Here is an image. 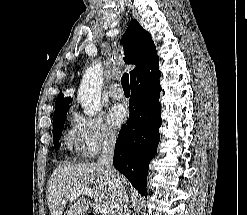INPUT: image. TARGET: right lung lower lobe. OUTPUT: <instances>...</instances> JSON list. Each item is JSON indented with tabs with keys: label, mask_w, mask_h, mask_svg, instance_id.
I'll use <instances>...</instances> for the list:
<instances>
[{
	"label": "right lung lower lobe",
	"mask_w": 247,
	"mask_h": 215,
	"mask_svg": "<svg viewBox=\"0 0 247 215\" xmlns=\"http://www.w3.org/2000/svg\"><path fill=\"white\" fill-rule=\"evenodd\" d=\"M159 57L131 79L130 114L115 145L114 167L141 195L147 196L146 176L157 152L161 120Z\"/></svg>",
	"instance_id": "obj_1"
}]
</instances>
